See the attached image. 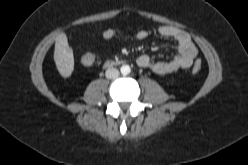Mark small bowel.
I'll use <instances>...</instances> for the list:
<instances>
[{"label": "small bowel", "instance_id": "c3829d8e", "mask_svg": "<svg viewBox=\"0 0 248 165\" xmlns=\"http://www.w3.org/2000/svg\"><path fill=\"white\" fill-rule=\"evenodd\" d=\"M154 32L164 38L173 40L177 44L178 54L167 61H155L149 55H140L136 60L140 68L150 70L158 75H166L192 66L198 51L187 32L168 25L159 26L154 29ZM148 35L149 33L145 30L128 34L124 30L117 28L107 29L102 34L104 39L125 38L132 41L145 40Z\"/></svg>", "mask_w": 248, "mask_h": 165}]
</instances>
